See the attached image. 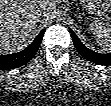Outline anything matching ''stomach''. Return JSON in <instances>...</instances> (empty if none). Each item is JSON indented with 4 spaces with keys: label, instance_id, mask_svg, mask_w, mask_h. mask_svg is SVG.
<instances>
[{
    "label": "stomach",
    "instance_id": "1",
    "mask_svg": "<svg viewBox=\"0 0 111 106\" xmlns=\"http://www.w3.org/2000/svg\"><path fill=\"white\" fill-rule=\"evenodd\" d=\"M81 4L89 14L102 16L110 7L111 0H84Z\"/></svg>",
    "mask_w": 111,
    "mask_h": 106
}]
</instances>
